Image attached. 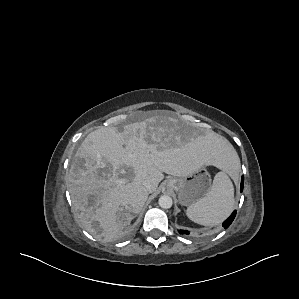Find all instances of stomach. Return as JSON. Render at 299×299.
Here are the masks:
<instances>
[{
    "mask_svg": "<svg viewBox=\"0 0 299 299\" xmlns=\"http://www.w3.org/2000/svg\"><path fill=\"white\" fill-rule=\"evenodd\" d=\"M211 177L206 167L185 176L169 177L166 187L178 193L179 203L191 206L203 199L211 189Z\"/></svg>",
    "mask_w": 299,
    "mask_h": 299,
    "instance_id": "stomach-1",
    "label": "stomach"
}]
</instances>
